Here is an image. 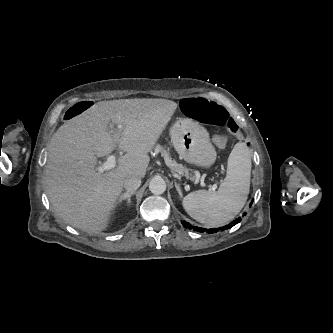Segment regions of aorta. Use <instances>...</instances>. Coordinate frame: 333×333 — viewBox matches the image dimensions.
<instances>
[{
	"instance_id": "762f6f07",
	"label": "aorta",
	"mask_w": 333,
	"mask_h": 333,
	"mask_svg": "<svg viewBox=\"0 0 333 333\" xmlns=\"http://www.w3.org/2000/svg\"><path fill=\"white\" fill-rule=\"evenodd\" d=\"M149 189L153 194H162L166 191V182L161 177H154L150 181Z\"/></svg>"
}]
</instances>
